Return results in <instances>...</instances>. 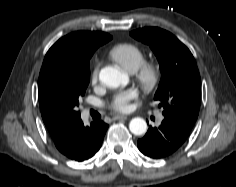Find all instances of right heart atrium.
<instances>
[{
    "mask_svg": "<svg viewBox=\"0 0 236 187\" xmlns=\"http://www.w3.org/2000/svg\"><path fill=\"white\" fill-rule=\"evenodd\" d=\"M99 63H96L94 65V67L92 68L91 70V73H90V83L92 85H95L97 82H98V79H99Z\"/></svg>",
    "mask_w": 236,
    "mask_h": 187,
    "instance_id": "obj_1",
    "label": "right heart atrium"
}]
</instances>
